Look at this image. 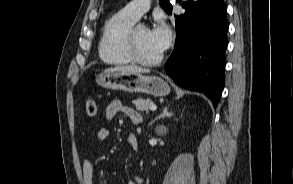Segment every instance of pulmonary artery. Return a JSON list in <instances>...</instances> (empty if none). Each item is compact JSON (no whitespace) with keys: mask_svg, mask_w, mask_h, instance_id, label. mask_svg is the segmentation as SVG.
I'll return each mask as SVG.
<instances>
[{"mask_svg":"<svg viewBox=\"0 0 293 184\" xmlns=\"http://www.w3.org/2000/svg\"><path fill=\"white\" fill-rule=\"evenodd\" d=\"M149 6L150 0H132L122 11L138 20L149 9Z\"/></svg>","mask_w":293,"mask_h":184,"instance_id":"1","label":"pulmonary artery"}]
</instances>
